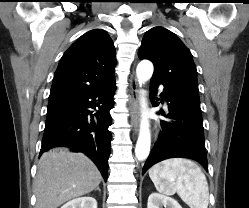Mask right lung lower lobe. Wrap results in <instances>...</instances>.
I'll use <instances>...</instances> for the list:
<instances>
[{
	"instance_id": "98d812e1",
	"label": "right lung lower lobe",
	"mask_w": 249,
	"mask_h": 208,
	"mask_svg": "<svg viewBox=\"0 0 249 208\" xmlns=\"http://www.w3.org/2000/svg\"><path fill=\"white\" fill-rule=\"evenodd\" d=\"M115 79L89 92L49 100L40 155L57 146L86 154L107 180ZM98 112L91 114L89 108Z\"/></svg>"
}]
</instances>
